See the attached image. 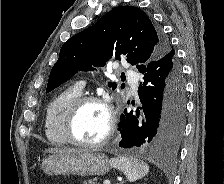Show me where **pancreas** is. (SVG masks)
<instances>
[{"mask_svg": "<svg viewBox=\"0 0 224 184\" xmlns=\"http://www.w3.org/2000/svg\"><path fill=\"white\" fill-rule=\"evenodd\" d=\"M83 184H97L94 180H88V182H84Z\"/></svg>", "mask_w": 224, "mask_h": 184, "instance_id": "pancreas-1", "label": "pancreas"}]
</instances>
